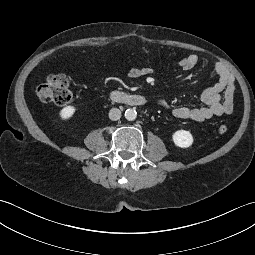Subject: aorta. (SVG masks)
Returning <instances> with one entry per match:
<instances>
[{"mask_svg": "<svg viewBox=\"0 0 255 255\" xmlns=\"http://www.w3.org/2000/svg\"><path fill=\"white\" fill-rule=\"evenodd\" d=\"M137 117V112L135 109L133 108H129L125 111V118L128 120V121H133L135 120Z\"/></svg>", "mask_w": 255, "mask_h": 255, "instance_id": "1", "label": "aorta"}]
</instances>
